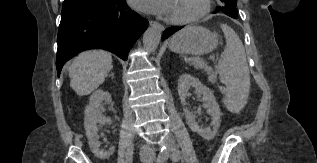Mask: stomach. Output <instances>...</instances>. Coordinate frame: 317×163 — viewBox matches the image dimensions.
<instances>
[{"label": "stomach", "instance_id": "stomach-1", "mask_svg": "<svg viewBox=\"0 0 317 163\" xmlns=\"http://www.w3.org/2000/svg\"><path fill=\"white\" fill-rule=\"evenodd\" d=\"M218 45V36L201 26H189L177 32L170 40L169 48L177 53L203 55Z\"/></svg>", "mask_w": 317, "mask_h": 163}]
</instances>
